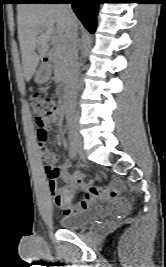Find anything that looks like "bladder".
<instances>
[{
  "label": "bladder",
  "instance_id": "obj_1",
  "mask_svg": "<svg viewBox=\"0 0 166 267\" xmlns=\"http://www.w3.org/2000/svg\"><path fill=\"white\" fill-rule=\"evenodd\" d=\"M98 216L99 211L97 208L81 210L73 214L62 216L59 220V224L63 229L75 230L95 221Z\"/></svg>",
  "mask_w": 166,
  "mask_h": 267
}]
</instances>
